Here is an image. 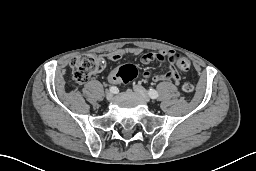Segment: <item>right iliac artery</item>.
<instances>
[{
	"instance_id": "82829eb1",
	"label": "right iliac artery",
	"mask_w": 256,
	"mask_h": 171,
	"mask_svg": "<svg viewBox=\"0 0 256 171\" xmlns=\"http://www.w3.org/2000/svg\"><path fill=\"white\" fill-rule=\"evenodd\" d=\"M110 91L112 93H115L117 91V88L115 86L110 87Z\"/></svg>"
}]
</instances>
